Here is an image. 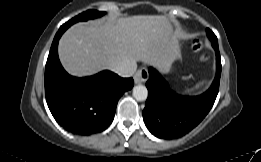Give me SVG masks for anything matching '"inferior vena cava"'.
<instances>
[{"label": "inferior vena cava", "instance_id": "inferior-vena-cava-1", "mask_svg": "<svg viewBox=\"0 0 261 162\" xmlns=\"http://www.w3.org/2000/svg\"><path fill=\"white\" fill-rule=\"evenodd\" d=\"M137 69L136 62L130 64H120L112 68V71L118 74L121 77H130L132 76Z\"/></svg>", "mask_w": 261, "mask_h": 162}]
</instances>
